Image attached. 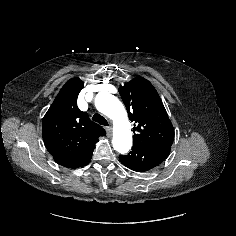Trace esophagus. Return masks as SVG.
<instances>
[{"label":"esophagus","instance_id":"1","mask_svg":"<svg viewBox=\"0 0 236 236\" xmlns=\"http://www.w3.org/2000/svg\"><path fill=\"white\" fill-rule=\"evenodd\" d=\"M106 131L108 136L112 135V128L110 126L106 128Z\"/></svg>","mask_w":236,"mask_h":236}]
</instances>
